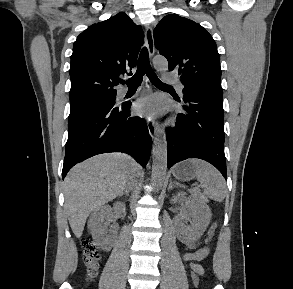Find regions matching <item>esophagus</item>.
<instances>
[{
	"label": "esophagus",
	"instance_id": "34e87169",
	"mask_svg": "<svg viewBox=\"0 0 293 289\" xmlns=\"http://www.w3.org/2000/svg\"><path fill=\"white\" fill-rule=\"evenodd\" d=\"M145 38H146V45L148 48L149 56L153 57L155 53V47H154V38H153V30L151 26H146L145 28ZM146 87L151 90V84L148 80H146ZM147 126L148 131L151 136V138L154 140L157 135V122L154 117H148L147 118Z\"/></svg>",
	"mask_w": 293,
	"mask_h": 289
}]
</instances>
